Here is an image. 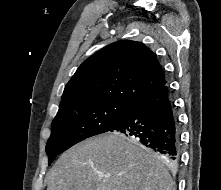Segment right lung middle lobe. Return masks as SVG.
Returning a JSON list of instances; mask_svg holds the SVG:
<instances>
[{"label": "right lung middle lobe", "instance_id": "dd1d6c3e", "mask_svg": "<svg viewBox=\"0 0 221 190\" xmlns=\"http://www.w3.org/2000/svg\"><path fill=\"white\" fill-rule=\"evenodd\" d=\"M130 107V104L117 100H99L59 108L46 145L49 164L57 154L76 143L111 131Z\"/></svg>", "mask_w": 221, "mask_h": 190}]
</instances>
